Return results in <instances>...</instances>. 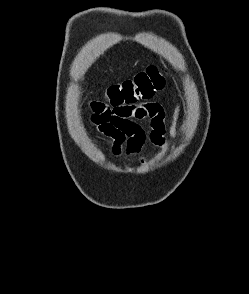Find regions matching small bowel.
Wrapping results in <instances>:
<instances>
[{
  "mask_svg": "<svg viewBox=\"0 0 249 294\" xmlns=\"http://www.w3.org/2000/svg\"><path fill=\"white\" fill-rule=\"evenodd\" d=\"M181 108V102H178L170 124L167 126L164 109L157 102L117 106L94 103L91 120L97 130L108 139L115 157H141L143 159V149L147 141L164 149L169 141L176 138ZM144 122H149L150 125L148 138L143 127Z\"/></svg>",
  "mask_w": 249,
  "mask_h": 294,
  "instance_id": "obj_1",
  "label": "small bowel"
}]
</instances>
